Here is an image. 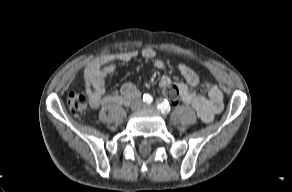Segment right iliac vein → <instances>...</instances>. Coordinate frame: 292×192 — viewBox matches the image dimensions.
I'll return each instance as SVG.
<instances>
[{
    "mask_svg": "<svg viewBox=\"0 0 292 192\" xmlns=\"http://www.w3.org/2000/svg\"><path fill=\"white\" fill-rule=\"evenodd\" d=\"M140 107H141L140 103H136L135 105H133L134 110H138V109H140Z\"/></svg>",
    "mask_w": 292,
    "mask_h": 192,
    "instance_id": "right-iliac-vein-1",
    "label": "right iliac vein"
}]
</instances>
